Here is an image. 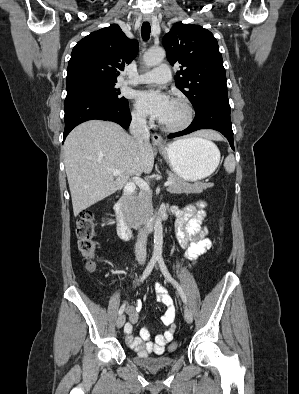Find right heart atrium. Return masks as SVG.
<instances>
[{"label": "right heart atrium", "instance_id": "right-heart-atrium-1", "mask_svg": "<svg viewBox=\"0 0 299 394\" xmlns=\"http://www.w3.org/2000/svg\"><path fill=\"white\" fill-rule=\"evenodd\" d=\"M132 120L139 125H144L146 123L145 115L139 110L132 111Z\"/></svg>", "mask_w": 299, "mask_h": 394}]
</instances>
